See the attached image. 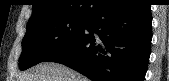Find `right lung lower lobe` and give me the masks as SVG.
<instances>
[{
    "mask_svg": "<svg viewBox=\"0 0 169 81\" xmlns=\"http://www.w3.org/2000/svg\"><path fill=\"white\" fill-rule=\"evenodd\" d=\"M150 5L106 0L79 34L44 62L64 64L92 81H143L152 38Z\"/></svg>",
    "mask_w": 169,
    "mask_h": 81,
    "instance_id": "1",
    "label": "right lung lower lobe"
}]
</instances>
